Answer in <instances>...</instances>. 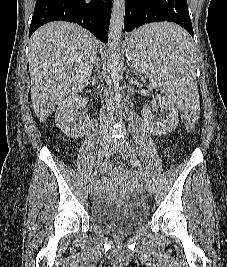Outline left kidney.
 Here are the masks:
<instances>
[{
	"mask_svg": "<svg viewBox=\"0 0 227 267\" xmlns=\"http://www.w3.org/2000/svg\"><path fill=\"white\" fill-rule=\"evenodd\" d=\"M158 106L161 115L155 119L150 110L144 112V123L150 133L154 135H167L178 124V111L171 99L163 95H157Z\"/></svg>",
	"mask_w": 227,
	"mask_h": 267,
	"instance_id": "1",
	"label": "left kidney"
}]
</instances>
